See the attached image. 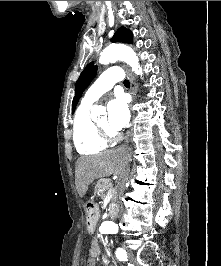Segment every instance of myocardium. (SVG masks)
<instances>
[{
  "instance_id": "myocardium-1",
  "label": "myocardium",
  "mask_w": 221,
  "mask_h": 266,
  "mask_svg": "<svg viewBox=\"0 0 221 266\" xmlns=\"http://www.w3.org/2000/svg\"><path fill=\"white\" fill-rule=\"evenodd\" d=\"M96 126L100 132V135L104 140L108 141H113L117 137V132L111 130L110 128H105L102 127L100 124L96 123Z\"/></svg>"
}]
</instances>
